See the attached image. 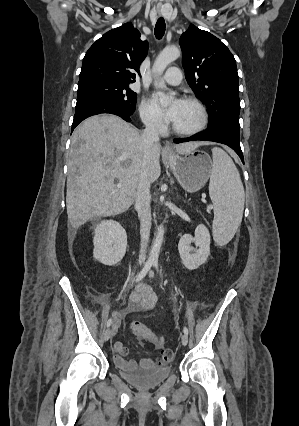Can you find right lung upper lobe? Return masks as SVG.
<instances>
[{
	"label": "right lung upper lobe",
	"instance_id": "obj_1",
	"mask_svg": "<svg viewBox=\"0 0 299 426\" xmlns=\"http://www.w3.org/2000/svg\"><path fill=\"white\" fill-rule=\"evenodd\" d=\"M148 42L131 23L112 29L87 51L79 75V85L91 83L129 84L135 82L146 57Z\"/></svg>",
	"mask_w": 299,
	"mask_h": 426
}]
</instances>
